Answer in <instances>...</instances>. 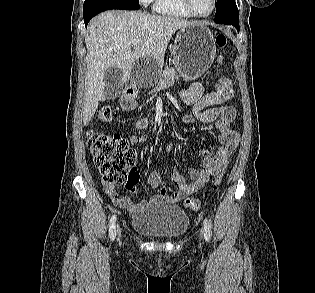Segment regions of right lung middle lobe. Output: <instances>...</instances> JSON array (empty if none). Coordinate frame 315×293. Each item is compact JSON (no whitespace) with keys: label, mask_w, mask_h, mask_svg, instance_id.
<instances>
[{"label":"right lung middle lobe","mask_w":315,"mask_h":293,"mask_svg":"<svg viewBox=\"0 0 315 293\" xmlns=\"http://www.w3.org/2000/svg\"><path fill=\"white\" fill-rule=\"evenodd\" d=\"M121 1L130 3V4H139V0H121Z\"/></svg>","instance_id":"right-lung-middle-lobe-1"}]
</instances>
